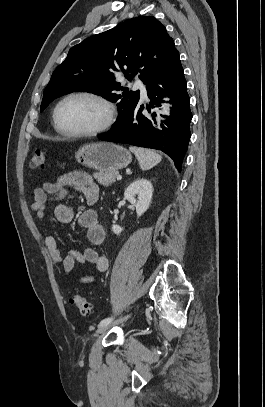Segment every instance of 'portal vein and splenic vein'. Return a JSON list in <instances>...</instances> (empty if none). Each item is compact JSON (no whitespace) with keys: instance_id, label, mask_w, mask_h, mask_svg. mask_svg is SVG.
Instances as JSON below:
<instances>
[{"instance_id":"18ae733b","label":"portal vein and splenic vein","mask_w":265,"mask_h":407,"mask_svg":"<svg viewBox=\"0 0 265 407\" xmlns=\"http://www.w3.org/2000/svg\"><path fill=\"white\" fill-rule=\"evenodd\" d=\"M116 178H117V180H121V179H122V176H121V175H117Z\"/></svg>"}]
</instances>
